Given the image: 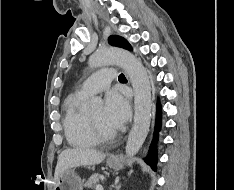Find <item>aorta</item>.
Returning <instances> with one entry per match:
<instances>
[{
  "label": "aorta",
  "mask_w": 234,
  "mask_h": 190,
  "mask_svg": "<svg viewBox=\"0 0 234 190\" xmlns=\"http://www.w3.org/2000/svg\"><path fill=\"white\" fill-rule=\"evenodd\" d=\"M92 68L107 64L120 65L130 78L134 89V124L126 143V154L134 156L143 145L149 131L151 122V85L147 70L141 61L127 50L119 48H104L97 50L90 57ZM101 99L95 97L91 104L97 105Z\"/></svg>",
  "instance_id": "762f6f07"
}]
</instances>
